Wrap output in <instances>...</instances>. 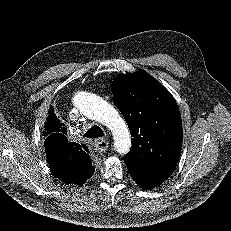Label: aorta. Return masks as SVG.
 Wrapping results in <instances>:
<instances>
[{
    "label": "aorta",
    "instance_id": "762f6f07",
    "mask_svg": "<svg viewBox=\"0 0 231 231\" xmlns=\"http://www.w3.org/2000/svg\"><path fill=\"white\" fill-rule=\"evenodd\" d=\"M72 102L82 114L111 131L115 148L120 154H126L129 151L131 137L128 126L112 105L96 94L86 91L75 93Z\"/></svg>",
    "mask_w": 231,
    "mask_h": 231
}]
</instances>
